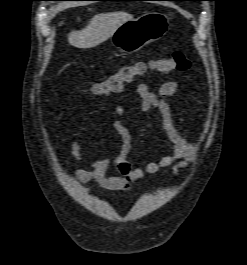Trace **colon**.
<instances>
[{
	"mask_svg": "<svg viewBox=\"0 0 247 265\" xmlns=\"http://www.w3.org/2000/svg\"><path fill=\"white\" fill-rule=\"evenodd\" d=\"M191 62L182 51H174L167 57H161L150 62L138 61L123 65L117 72L106 79L97 82L88 89L89 94L99 102H107L110 95L121 92L125 84L137 77L145 76L149 71L168 73L172 70L185 71Z\"/></svg>",
	"mask_w": 247,
	"mask_h": 265,
	"instance_id": "colon-1",
	"label": "colon"
}]
</instances>
